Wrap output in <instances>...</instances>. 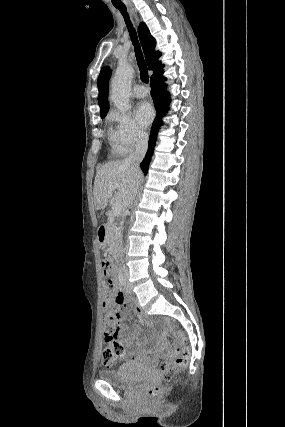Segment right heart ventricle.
<instances>
[{"label":"right heart ventricle","mask_w":285,"mask_h":427,"mask_svg":"<svg viewBox=\"0 0 285 427\" xmlns=\"http://www.w3.org/2000/svg\"><path fill=\"white\" fill-rule=\"evenodd\" d=\"M110 135H111V138H113L111 132H110ZM114 148L116 152L120 153V151L116 148V145H114Z\"/></svg>","instance_id":"obj_1"}]
</instances>
